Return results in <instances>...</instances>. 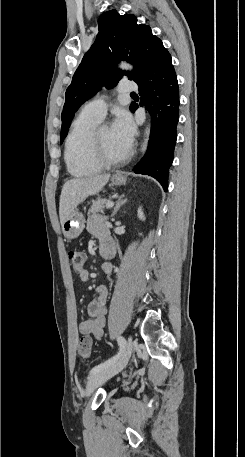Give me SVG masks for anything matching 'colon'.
<instances>
[{
  "instance_id": "1",
  "label": "colon",
  "mask_w": 245,
  "mask_h": 457,
  "mask_svg": "<svg viewBox=\"0 0 245 457\" xmlns=\"http://www.w3.org/2000/svg\"><path fill=\"white\" fill-rule=\"evenodd\" d=\"M68 258L75 272L80 273L84 269L85 255L77 249H70L68 251ZM77 351L81 358L89 359L92 354V342L87 336H82L78 340Z\"/></svg>"
}]
</instances>
